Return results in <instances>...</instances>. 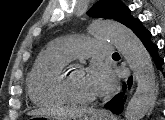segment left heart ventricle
<instances>
[{
	"mask_svg": "<svg viewBox=\"0 0 165 120\" xmlns=\"http://www.w3.org/2000/svg\"><path fill=\"white\" fill-rule=\"evenodd\" d=\"M70 86L75 94L86 97H97L89 77L88 72L85 69H73L70 73Z\"/></svg>",
	"mask_w": 165,
	"mask_h": 120,
	"instance_id": "left-heart-ventricle-1",
	"label": "left heart ventricle"
}]
</instances>
